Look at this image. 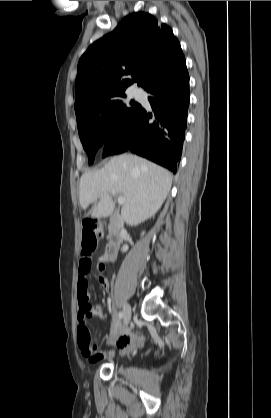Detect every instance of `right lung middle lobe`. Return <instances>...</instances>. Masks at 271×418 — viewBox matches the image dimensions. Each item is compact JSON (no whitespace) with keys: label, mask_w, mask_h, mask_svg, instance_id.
<instances>
[{"label":"right lung middle lobe","mask_w":271,"mask_h":418,"mask_svg":"<svg viewBox=\"0 0 271 418\" xmlns=\"http://www.w3.org/2000/svg\"><path fill=\"white\" fill-rule=\"evenodd\" d=\"M124 98L125 93L76 116L80 140L87 151L89 164L94 162L97 150L106 139L140 109L141 105L137 102H127Z\"/></svg>","instance_id":"1"}]
</instances>
